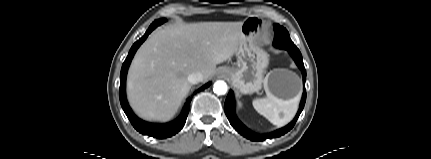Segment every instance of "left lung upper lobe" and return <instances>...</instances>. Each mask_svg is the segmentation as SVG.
<instances>
[{"mask_svg": "<svg viewBox=\"0 0 431 159\" xmlns=\"http://www.w3.org/2000/svg\"><path fill=\"white\" fill-rule=\"evenodd\" d=\"M274 31V45L276 47L284 48L286 50L298 49L291 41L288 31L284 27L279 24H275Z\"/></svg>", "mask_w": 431, "mask_h": 159, "instance_id": "1", "label": "left lung upper lobe"}]
</instances>
